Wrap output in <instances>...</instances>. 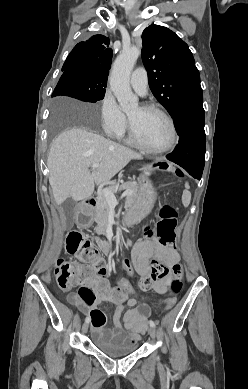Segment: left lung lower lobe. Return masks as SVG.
<instances>
[{
  "label": "left lung lower lobe",
  "instance_id": "obj_1",
  "mask_svg": "<svg viewBox=\"0 0 248 389\" xmlns=\"http://www.w3.org/2000/svg\"><path fill=\"white\" fill-rule=\"evenodd\" d=\"M180 137L175 150L166 158L200 180L205 164L206 135L203 97L194 98L181 105L172 116Z\"/></svg>",
  "mask_w": 248,
  "mask_h": 389
}]
</instances>
